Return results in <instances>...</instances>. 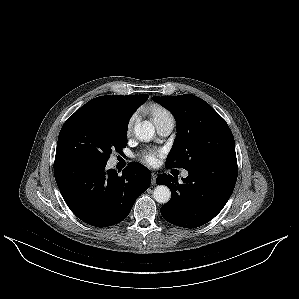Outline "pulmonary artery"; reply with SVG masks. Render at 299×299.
Segmentation results:
<instances>
[{
    "instance_id": "obj_1",
    "label": "pulmonary artery",
    "mask_w": 299,
    "mask_h": 299,
    "mask_svg": "<svg viewBox=\"0 0 299 299\" xmlns=\"http://www.w3.org/2000/svg\"><path fill=\"white\" fill-rule=\"evenodd\" d=\"M174 126H175V120L172 116L161 119L156 122L157 131H158L159 135H161V136H168L171 133V131L173 130ZM182 176L187 177L188 172L183 171Z\"/></svg>"
}]
</instances>
